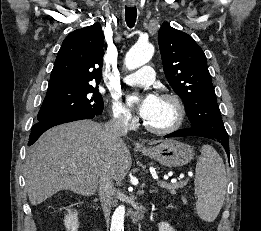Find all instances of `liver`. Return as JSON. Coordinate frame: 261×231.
Masks as SVG:
<instances>
[{"mask_svg":"<svg viewBox=\"0 0 261 231\" xmlns=\"http://www.w3.org/2000/svg\"><path fill=\"white\" fill-rule=\"evenodd\" d=\"M102 164L116 181H121L131 168L132 158L122 140L106 143L101 124L81 120L51 128L30 148L26 158L24 176L30 203L38 205L60 190L93 195Z\"/></svg>","mask_w":261,"mask_h":231,"instance_id":"1","label":"liver"}]
</instances>
